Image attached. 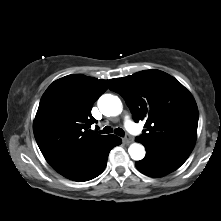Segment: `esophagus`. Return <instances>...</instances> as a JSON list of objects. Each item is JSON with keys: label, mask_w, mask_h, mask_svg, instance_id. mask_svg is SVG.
I'll use <instances>...</instances> for the list:
<instances>
[{"label": "esophagus", "mask_w": 221, "mask_h": 221, "mask_svg": "<svg viewBox=\"0 0 221 221\" xmlns=\"http://www.w3.org/2000/svg\"><path fill=\"white\" fill-rule=\"evenodd\" d=\"M123 142H124L125 144H129V143L132 142V139H131V137H130L129 135H126V136L123 138Z\"/></svg>", "instance_id": "esophagus-1"}]
</instances>
